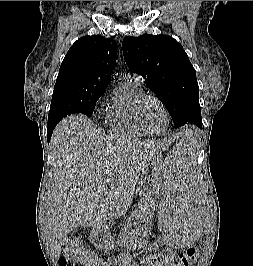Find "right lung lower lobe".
I'll use <instances>...</instances> for the list:
<instances>
[{
    "instance_id": "obj_1",
    "label": "right lung lower lobe",
    "mask_w": 253,
    "mask_h": 266,
    "mask_svg": "<svg viewBox=\"0 0 253 266\" xmlns=\"http://www.w3.org/2000/svg\"><path fill=\"white\" fill-rule=\"evenodd\" d=\"M58 122H53V123H48L47 124V140H48V143H49V140L51 138V135H52V132L55 128V126L57 125Z\"/></svg>"
}]
</instances>
